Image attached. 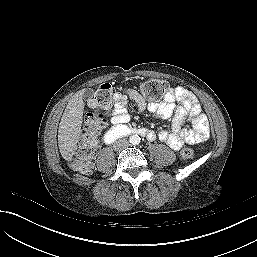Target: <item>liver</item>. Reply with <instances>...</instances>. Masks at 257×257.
<instances>
[{"label": "liver", "instance_id": "liver-1", "mask_svg": "<svg viewBox=\"0 0 257 257\" xmlns=\"http://www.w3.org/2000/svg\"><path fill=\"white\" fill-rule=\"evenodd\" d=\"M85 90L78 91L69 100L62 115L58 129V146L62 157L69 161L77 150L81 136L82 118L84 113L83 95Z\"/></svg>", "mask_w": 257, "mask_h": 257}]
</instances>
